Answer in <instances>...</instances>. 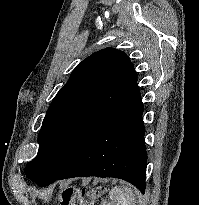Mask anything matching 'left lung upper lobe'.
<instances>
[{
  "mask_svg": "<svg viewBox=\"0 0 199 205\" xmlns=\"http://www.w3.org/2000/svg\"><path fill=\"white\" fill-rule=\"evenodd\" d=\"M137 74L127 55L105 48L84 59L52 100L38 135L27 178L38 185L59 177L96 126L128 95Z\"/></svg>",
  "mask_w": 199,
  "mask_h": 205,
  "instance_id": "5c2ea615",
  "label": "left lung upper lobe"
}]
</instances>
